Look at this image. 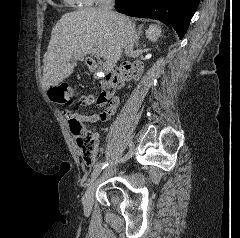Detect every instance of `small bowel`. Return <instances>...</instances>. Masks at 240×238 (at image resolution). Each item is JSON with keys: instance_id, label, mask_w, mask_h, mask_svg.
<instances>
[{"instance_id": "1", "label": "small bowel", "mask_w": 240, "mask_h": 238, "mask_svg": "<svg viewBox=\"0 0 240 238\" xmlns=\"http://www.w3.org/2000/svg\"><path fill=\"white\" fill-rule=\"evenodd\" d=\"M94 101H95V98L92 94H86L79 98L80 105L85 106V107L92 105L94 103ZM118 104H119L118 98L113 97L110 104L105 108L104 111H102L100 113H94L91 115H82L77 112H71L69 110H64V115L68 120L71 118H76L77 120H79L82 123H84V122H88V123L104 122V121L109 120L114 115V113L116 112V109L118 107ZM94 135L98 141V139H99L98 134L94 133Z\"/></svg>"}]
</instances>
